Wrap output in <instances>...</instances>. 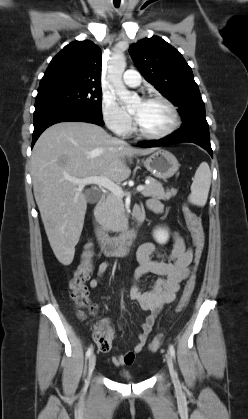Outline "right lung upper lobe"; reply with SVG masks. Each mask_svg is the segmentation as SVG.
Returning <instances> with one entry per match:
<instances>
[{"label": "right lung upper lobe", "mask_w": 248, "mask_h": 419, "mask_svg": "<svg viewBox=\"0 0 248 419\" xmlns=\"http://www.w3.org/2000/svg\"><path fill=\"white\" fill-rule=\"evenodd\" d=\"M101 50L92 41H74L50 62L38 90L54 87L101 88Z\"/></svg>", "instance_id": "1"}]
</instances>
